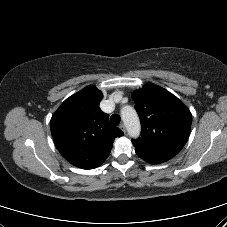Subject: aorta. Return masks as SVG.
Segmentation results:
<instances>
[{
	"instance_id": "aorta-1",
	"label": "aorta",
	"mask_w": 227,
	"mask_h": 227,
	"mask_svg": "<svg viewBox=\"0 0 227 227\" xmlns=\"http://www.w3.org/2000/svg\"><path fill=\"white\" fill-rule=\"evenodd\" d=\"M121 115L130 137L137 138L140 135L141 125L135 109L131 106H124L121 109Z\"/></svg>"
}]
</instances>
